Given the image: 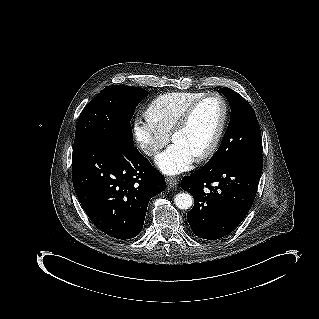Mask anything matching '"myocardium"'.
<instances>
[{
    "instance_id": "f54148a6",
    "label": "myocardium",
    "mask_w": 319,
    "mask_h": 319,
    "mask_svg": "<svg viewBox=\"0 0 319 319\" xmlns=\"http://www.w3.org/2000/svg\"><path fill=\"white\" fill-rule=\"evenodd\" d=\"M212 99L217 101L220 105V118H219V122H218V126L216 128V131H215L212 139L208 143V145L204 149H202L201 151L194 153L195 158L198 160L205 158L215 149V147L217 146V144L221 138V135L223 133L225 123H226V116H227V106H226V103H225L223 97L217 93H213V94H209V95H206V96L200 98L198 101H196L193 105H191L183 113V115L179 118V120L174 125L172 133H171V137H172V139H174L176 137V135L178 134V132L187 123V121L190 118L193 111L199 105H201L203 102L208 101V100H212Z\"/></svg>"
}]
</instances>
